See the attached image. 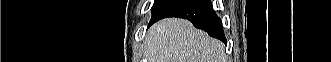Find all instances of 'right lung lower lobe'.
<instances>
[{
	"instance_id": "1",
	"label": "right lung lower lobe",
	"mask_w": 331,
	"mask_h": 62,
	"mask_svg": "<svg viewBox=\"0 0 331 62\" xmlns=\"http://www.w3.org/2000/svg\"><path fill=\"white\" fill-rule=\"evenodd\" d=\"M167 17H179L190 20L196 28L226 43L220 18L213 11L209 0H178L159 16L150 21V25Z\"/></svg>"
}]
</instances>
